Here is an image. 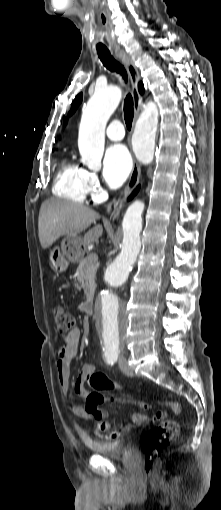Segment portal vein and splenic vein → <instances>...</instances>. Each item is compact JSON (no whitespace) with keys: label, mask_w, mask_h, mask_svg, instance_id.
<instances>
[{"label":"portal vein and splenic vein","mask_w":221,"mask_h":510,"mask_svg":"<svg viewBox=\"0 0 221 510\" xmlns=\"http://www.w3.org/2000/svg\"><path fill=\"white\" fill-rule=\"evenodd\" d=\"M92 259H93V260H97V259H98V256H97L96 254H93V255H92Z\"/></svg>","instance_id":"portal-vein-and-splenic-vein-1"}]
</instances>
